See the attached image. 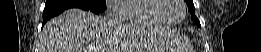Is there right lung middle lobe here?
Returning <instances> with one entry per match:
<instances>
[{
  "label": "right lung middle lobe",
  "mask_w": 261,
  "mask_h": 52,
  "mask_svg": "<svg viewBox=\"0 0 261 52\" xmlns=\"http://www.w3.org/2000/svg\"><path fill=\"white\" fill-rule=\"evenodd\" d=\"M49 2H63L69 5H78L100 12H103L106 9L105 0H47L46 1V3Z\"/></svg>",
  "instance_id": "dd1d6c3e"
}]
</instances>
